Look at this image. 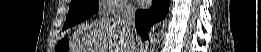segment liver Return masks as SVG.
Here are the masks:
<instances>
[{
	"mask_svg": "<svg viewBox=\"0 0 261 52\" xmlns=\"http://www.w3.org/2000/svg\"><path fill=\"white\" fill-rule=\"evenodd\" d=\"M75 52H134L132 40L117 17H104L82 25L73 36Z\"/></svg>",
	"mask_w": 261,
	"mask_h": 52,
	"instance_id": "liver-1",
	"label": "liver"
}]
</instances>
